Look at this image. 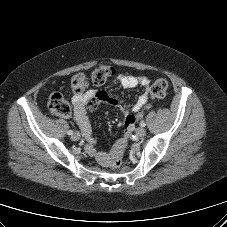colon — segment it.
I'll use <instances>...</instances> for the list:
<instances>
[{
    "label": "colon",
    "instance_id": "obj_1",
    "mask_svg": "<svg viewBox=\"0 0 227 227\" xmlns=\"http://www.w3.org/2000/svg\"><path fill=\"white\" fill-rule=\"evenodd\" d=\"M115 73L114 68L109 65L100 64L91 74L90 78H87L84 74L78 73L71 78V88L75 93L84 92L90 84L95 86L103 85L109 78ZM168 88V82L163 79H157L150 90L152 99H159L165 96ZM150 104H146L142 110L137 114L128 116L125 120V127L128 128L141 118L144 114V110L149 108ZM49 110L58 116L68 117L71 114V106L69 102L60 93H53L48 100ZM123 164V152H118L111 161V168L114 170L119 169Z\"/></svg>",
    "mask_w": 227,
    "mask_h": 227
}]
</instances>
